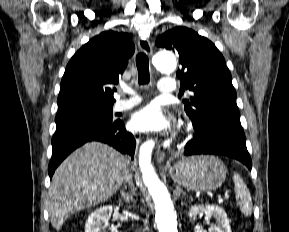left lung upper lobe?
Returning a JSON list of instances; mask_svg holds the SVG:
<instances>
[{
	"label": "left lung upper lobe",
	"mask_w": 289,
	"mask_h": 232,
	"mask_svg": "<svg viewBox=\"0 0 289 232\" xmlns=\"http://www.w3.org/2000/svg\"><path fill=\"white\" fill-rule=\"evenodd\" d=\"M156 46L178 54L182 65L178 78L184 89L194 93L184 107L194 128L211 123L240 124L230 71L211 41L189 28L177 26L160 35Z\"/></svg>",
	"instance_id": "5c2ea615"
}]
</instances>
